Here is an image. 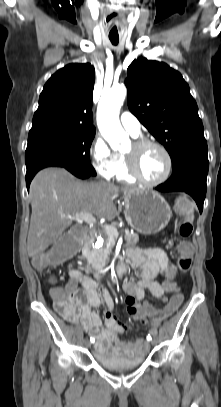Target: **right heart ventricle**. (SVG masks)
<instances>
[{
  "label": "right heart ventricle",
  "mask_w": 221,
  "mask_h": 407,
  "mask_svg": "<svg viewBox=\"0 0 221 407\" xmlns=\"http://www.w3.org/2000/svg\"><path fill=\"white\" fill-rule=\"evenodd\" d=\"M116 177L118 180L126 181V182H133L134 179L129 175L126 167V162L124 156L120 155V164L119 168L116 173Z\"/></svg>",
  "instance_id": "obj_1"
}]
</instances>
